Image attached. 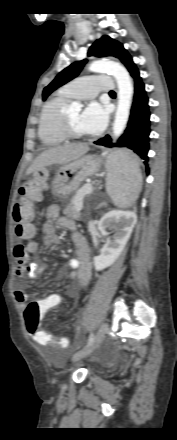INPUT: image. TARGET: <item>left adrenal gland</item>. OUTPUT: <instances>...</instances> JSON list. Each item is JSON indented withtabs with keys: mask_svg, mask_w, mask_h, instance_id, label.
<instances>
[{
	"mask_svg": "<svg viewBox=\"0 0 177 440\" xmlns=\"http://www.w3.org/2000/svg\"><path fill=\"white\" fill-rule=\"evenodd\" d=\"M105 204V202H103L99 207H101L102 205H104Z\"/></svg>",
	"mask_w": 177,
	"mask_h": 440,
	"instance_id": "a2214340",
	"label": "left adrenal gland"
}]
</instances>
